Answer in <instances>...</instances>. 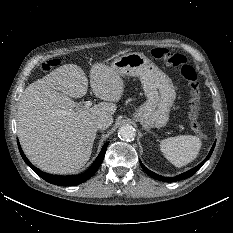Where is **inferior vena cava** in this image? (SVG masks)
<instances>
[{
	"label": "inferior vena cava",
	"mask_w": 233,
	"mask_h": 233,
	"mask_svg": "<svg viewBox=\"0 0 233 233\" xmlns=\"http://www.w3.org/2000/svg\"><path fill=\"white\" fill-rule=\"evenodd\" d=\"M112 122V116L102 115L95 120V126L97 129L105 130L112 124Z\"/></svg>",
	"instance_id": "1"
}]
</instances>
